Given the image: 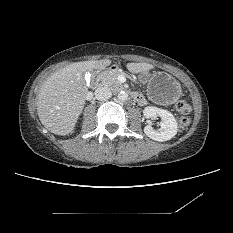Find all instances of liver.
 <instances>
[{
  "label": "liver",
  "instance_id": "6515ba94",
  "mask_svg": "<svg viewBox=\"0 0 233 233\" xmlns=\"http://www.w3.org/2000/svg\"><path fill=\"white\" fill-rule=\"evenodd\" d=\"M110 64L109 59L76 62L48 77L37 96V114L42 125L56 135L71 133L88 93L83 74L106 68ZM126 66L132 73L147 72L154 68L149 63H128Z\"/></svg>",
  "mask_w": 233,
  "mask_h": 233
}]
</instances>
